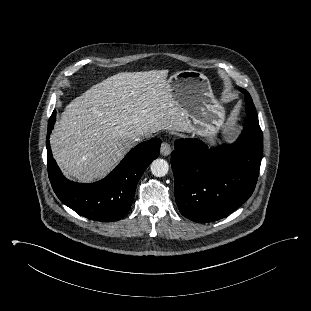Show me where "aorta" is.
I'll return each instance as SVG.
<instances>
[{"label":"aorta","mask_w":311,"mask_h":311,"mask_svg":"<svg viewBox=\"0 0 311 311\" xmlns=\"http://www.w3.org/2000/svg\"><path fill=\"white\" fill-rule=\"evenodd\" d=\"M151 172L156 177H163L169 171V164L164 159H156L151 163Z\"/></svg>","instance_id":"obj_1"}]
</instances>
